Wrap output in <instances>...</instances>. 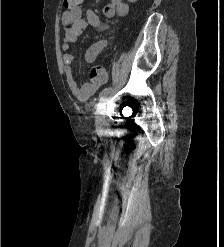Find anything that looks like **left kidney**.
I'll list each match as a JSON object with an SVG mask.
<instances>
[{"mask_svg": "<svg viewBox=\"0 0 224 247\" xmlns=\"http://www.w3.org/2000/svg\"><path fill=\"white\" fill-rule=\"evenodd\" d=\"M128 2H137V0H128Z\"/></svg>", "mask_w": 224, "mask_h": 247, "instance_id": "1", "label": "left kidney"}]
</instances>
